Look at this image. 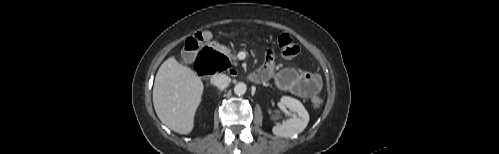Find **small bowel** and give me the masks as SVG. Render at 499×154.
Masks as SVG:
<instances>
[{
	"label": "small bowel",
	"mask_w": 499,
	"mask_h": 154,
	"mask_svg": "<svg viewBox=\"0 0 499 154\" xmlns=\"http://www.w3.org/2000/svg\"><path fill=\"white\" fill-rule=\"evenodd\" d=\"M260 72L264 81L269 80L274 74V61L272 52H269L267 61ZM276 86L284 91L291 92L302 98L317 96L322 88L321 77L314 72H301L295 68H286L275 76Z\"/></svg>",
	"instance_id": "obj_1"
}]
</instances>
